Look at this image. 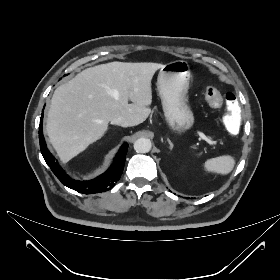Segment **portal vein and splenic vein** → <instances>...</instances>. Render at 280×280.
Instances as JSON below:
<instances>
[{
  "label": "portal vein and splenic vein",
  "mask_w": 280,
  "mask_h": 280,
  "mask_svg": "<svg viewBox=\"0 0 280 280\" xmlns=\"http://www.w3.org/2000/svg\"><path fill=\"white\" fill-rule=\"evenodd\" d=\"M199 136H200L203 140H205L206 142H208L210 145L213 144V141H212L210 138H208L206 135H204L202 132H199Z\"/></svg>",
  "instance_id": "1"
}]
</instances>
